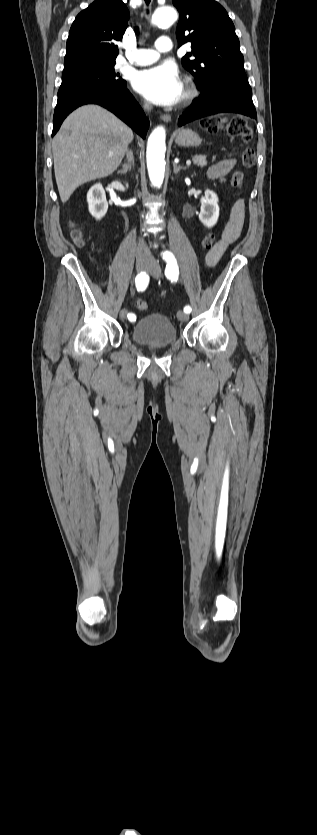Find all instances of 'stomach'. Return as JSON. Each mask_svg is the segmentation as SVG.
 <instances>
[{"mask_svg":"<svg viewBox=\"0 0 317 835\" xmlns=\"http://www.w3.org/2000/svg\"><path fill=\"white\" fill-rule=\"evenodd\" d=\"M175 143L181 147H195L200 145V136L191 129H180L174 133Z\"/></svg>","mask_w":317,"mask_h":835,"instance_id":"1","label":"stomach"}]
</instances>
